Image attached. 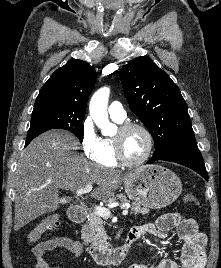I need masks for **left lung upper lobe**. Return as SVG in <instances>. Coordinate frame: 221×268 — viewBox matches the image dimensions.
Returning a JSON list of instances; mask_svg holds the SVG:
<instances>
[{
    "mask_svg": "<svg viewBox=\"0 0 221 268\" xmlns=\"http://www.w3.org/2000/svg\"><path fill=\"white\" fill-rule=\"evenodd\" d=\"M129 107L154 139V157L195 140L187 104L178 86L151 58L138 57L120 71Z\"/></svg>",
    "mask_w": 221,
    "mask_h": 268,
    "instance_id": "1",
    "label": "left lung upper lobe"
}]
</instances>
